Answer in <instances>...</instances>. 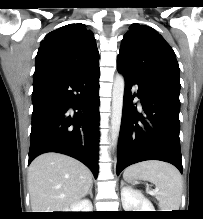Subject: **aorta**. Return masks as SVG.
Returning a JSON list of instances; mask_svg holds the SVG:
<instances>
[{
	"mask_svg": "<svg viewBox=\"0 0 203 219\" xmlns=\"http://www.w3.org/2000/svg\"><path fill=\"white\" fill-rule=\"evenodd\" d=\"M124 88V77L120 74H117L114 79L112 91V116L110 131V141L112 146L116 145L119 136L122 118Z\"/></svg>",
	"mask_w": 203,
	"mask_h": 219,
	"instance_id": "obj_1",
	"label": "aorta"
}]
</instances>
